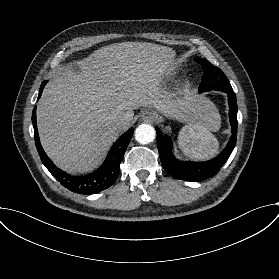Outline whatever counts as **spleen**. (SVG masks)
<instances>
[{"label":"spleen","instance_id":"3e777b00","mask_svg":"<svg viewBox=\"0 0 279 279\" xmlns=\"http://www.w3.org/2000/svg\"><path fill=\"white\" fill-rule=\"evenodd\" d=\"M203 117L183 127L178 135V145L183 153L194 160H206L219 152V143L211 131L220 128L221 118L216 106L204 98Z\"/></svg>","mask_w":279,"mask_h":279}]
</instances>
